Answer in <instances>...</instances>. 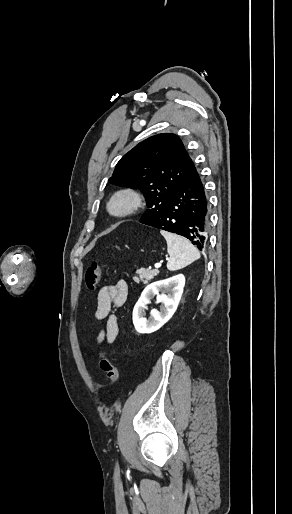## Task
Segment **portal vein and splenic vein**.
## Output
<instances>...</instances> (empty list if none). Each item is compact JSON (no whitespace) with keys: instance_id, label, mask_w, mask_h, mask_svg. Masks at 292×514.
Segmentation results:
<instances>
[{"instance_id":"18ae733b","label":"portal vein and splenic vein","mask_w":292,"mask_h":514,"mask_svg":"<svg viewBox=\"0 0 292 514\" xmlns=\"http://www.w3.org/2000/svg\"><path fill=\"white\" fill-rule=\"evenodd\" d=\"M162 264H155V268H161Z\"/></svg>"}]
</instances>
